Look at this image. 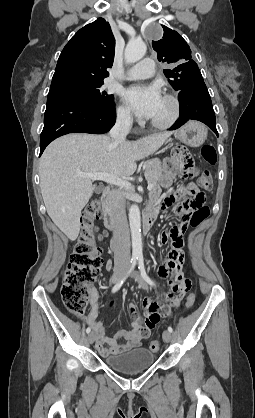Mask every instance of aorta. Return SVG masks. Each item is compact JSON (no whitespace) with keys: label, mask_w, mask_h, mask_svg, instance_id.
Wrapping results in <instances>:
<instances>
[{"label":"aorta","mask_w":255,"mask_h":418,"mask_svg":"<svg viewBox=\"0 0 255 418\" xmlns=\"http://www.w3.org/2000/svg\"><path fill=\"white\" fill-rule=\"evenodd\" d=\"M147 47L145 43L139 41H130L125 48V60L127 63H135L145 55ZM129 223L132 238L133 256L142 255V237H141V218L140 210L137 205H132L129 210Z\"/></svg>","instance_id":"obj_1"}]
</instances>
